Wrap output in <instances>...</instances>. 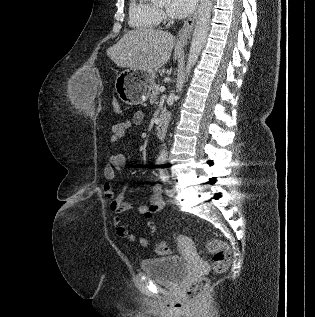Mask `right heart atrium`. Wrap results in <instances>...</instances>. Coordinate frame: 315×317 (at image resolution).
Here are the masks:
<instances>
[{
    "mask_svg": "<svg viewBox=\"0 0 315 317\" xmlns=\"http://www.w3.org/2000/svg\"><path fill=\"white\" fill-rule=\"evenodd\" d=\"M158 11H159L160 18L164 19L165 18V13L162 10H160V9H158Z\"/></svg>",
    "mask_w": 315,
    "mask_h": 317,
    "instance_id": "obj_1",
    "label": "right heart atrium"
}]
</instances>
